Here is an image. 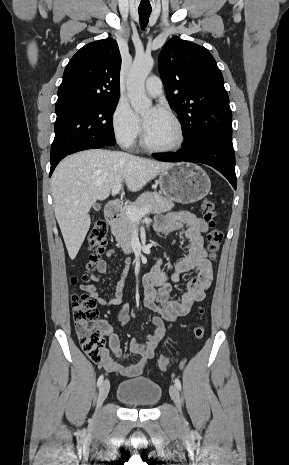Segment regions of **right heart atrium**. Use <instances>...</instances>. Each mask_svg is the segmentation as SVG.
<instances>
[{
	"mask_svg": "<svg viewBox=\"0 0 289 465\" xmlns=\"http://www.w3.org/2000/svg\"><path fill=\"white\" fill-rule=\"evenodd\" d=\"M111 126L115 139L124 147L132 146L142 131L139 116L124 100L116 103L111 114Z\"/></svg>",
	"mask_w": 289,
	"mask_h": 465,
	"instance_id": "1",
	"label": "right heart atrium"
}]
</instances>
